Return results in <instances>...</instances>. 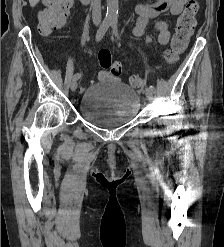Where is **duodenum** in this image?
Here are the masks:
<instances>
[{
    "label": "duodenum",
    "mask_w": 224,
    "mask_h": 247,
    "mask_svg": "<svg viewBox=\"0 0 224 247\" xmlns=\"http://www.w3.org/2000/svg\"><path fill=\"white\" fill-rule=\"evenodd\" d=\"M80 2L84 5H88L91 2V0H80Z\"/></svg>",
    "instance_id": "obj_1"
}]
</instances>
